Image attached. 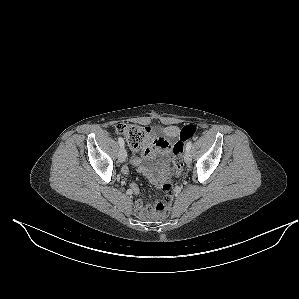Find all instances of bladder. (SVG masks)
<instances>
[{
    "label": "bladder",
    "mask_w": 299,
    "mask_h": 299,
    "mask_svg": "<svg viewBox=\"0 0 299 299\" xmlns=\"http://www.w3.org/2000/svg\"><path fill=\"white\" fill-rule=\"evenodd\" d=\"M170 157L169 153H166L162 150H156L153 153V159L156 161L168 160Z\"/></svg>",
    "instance_id": "bladder-1"
}]
</instances>
